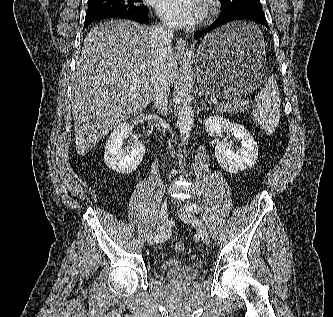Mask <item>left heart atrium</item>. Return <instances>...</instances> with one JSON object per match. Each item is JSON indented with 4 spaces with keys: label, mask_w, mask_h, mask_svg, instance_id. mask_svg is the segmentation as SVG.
I'll return each instance as SVG.
<instances>
[{
    "label": "left heart atrium",
    "mask_w": 333,
    "mask_h": 317,
    "mask_svg": "<svg viewBox=\"0 0 333 317\" xmlns=\"http://www.w3.org/2000/svg\"><path fill=\"white\" fill-rule=\"evenodd\" d=\"M158 14L170 25L190 26L203 12L202 0H157Z\"/></svg>",
    "instance_id": "obj_1"
}]
</instances>
